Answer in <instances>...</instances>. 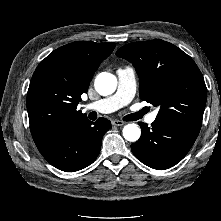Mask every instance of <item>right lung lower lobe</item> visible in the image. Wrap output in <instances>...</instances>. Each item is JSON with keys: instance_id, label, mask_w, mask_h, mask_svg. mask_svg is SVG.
Returning <instances> with one entry per match:
<instances>
[{"instance_id": "98d812e1", "label": "right lung lower lobe", "mask_w": 221, "mask_h": 221, "mask_svg": "<svg viewBox=\"0 0 221 221\" xmlns=\"http://www.w3.org/2000/svg\"><path fill=\"white\" fill-rule=\"evenodd\" d=\"M111 122L99 118L68 125L36 141L40 153L54 167L74 172L92 164L97 158L103 135Z\"/></svg>"}]
</instances>
